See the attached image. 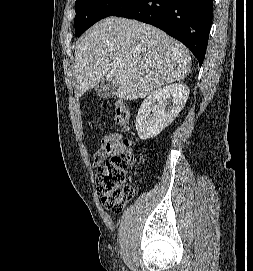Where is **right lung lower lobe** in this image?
<instances>
[{"instance_id": "1", "label": "right lung lower lobe", "mask_w": 253, "mask_h": 271, "mask_svg": "<svg viewBox=\"0 0 253 271\" xmlns=\"http://www.w3.org/2000/svg\"><path fill=\"white\" fill-rule=\"evenodd\" d=\"M213 0H128L112 16L152 24L187 46L201 66L212 23Z\"/></svg>"}]
</instances>
